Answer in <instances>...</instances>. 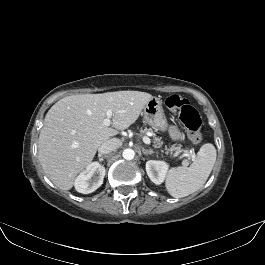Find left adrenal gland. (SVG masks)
<instances>
[{"instance_id": "left-adrenal-gland-1", "label": "left adrenal gland", "mask_w": 265, "mask_h": 265, "mask_svg": "<svg viewBox=\"0 0 265 265\" xmlns=\"http://www.w3.org/2000/svg\"><path fill=\"white\" fill-rule=\"evenodd\" d=\"M142 152L144 155H148V154H153L154 152L150 149V150H146L144 148H142Z\"/></svg>"}]
</instances>
